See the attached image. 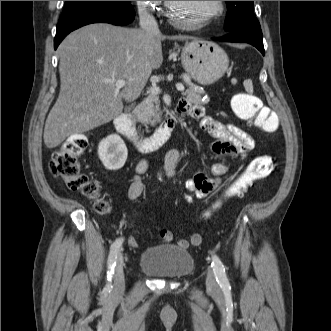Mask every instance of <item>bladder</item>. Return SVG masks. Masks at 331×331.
Masks as SVG:
<instances>
[{
	"label": "bladder",
	"mask_w": 331,
	"mask_h": 331,
	"mask_svg": "<svg viewBox=\"0 0 331 331\" xmlns=\"http://www.w3.org/2000/svg\"><path fill=\"white\" fill-rule=\"evenodd\" d=\"M138 267L155 278L180 279L192 273L194 258L187 248L162 244L146 248L139 257Z\"/></svg>",
	"instance_id": "bladder-1"
}]
</instances>
